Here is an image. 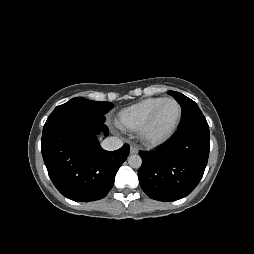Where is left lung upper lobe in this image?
I'll list each match as a JSON object with an SVG mask.
<instances>
[{
    "label": "left lung upper lobe",
    "mask_w": 254,
    "mask_h": 254,
    "mask_svg": "<svg viewBox=\"0 0 254 254\" xmlns=\"http://www.w3.org/2000/svg\"><path fill=\"white\" fill-rule=\"evenodd\" d=\"M168 93L172 95L183 108V117L179 128L193 124H208L198 105L193 100L179 92L169 91Z\"/></svg>",
    "instance_id": "5c2ea615"
}]
</instances>
